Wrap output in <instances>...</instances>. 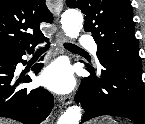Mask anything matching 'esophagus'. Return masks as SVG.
Instances as JSON below:
<instances>
[{
	"instance_id": "obj_1",
	"label": "esophagus",
	"mask_w": 145,
	"mask_h": 124,
	"mask_svg": "<svg viewBox=\"0 0 145 124\" xmlns=\"http://www.w3.org/2000/svg\"><path fill=\"white\" fill-rule=\"evenodd\" d=\"M52 10H53L54 14L56 16H58L62 10V3L58 1L53 6ZM66 42H67L66 36L64 35V33L62 31L59 30L56 34V44H57V47L61 53L65 52L64 43H66ZM59 100L63 105H69L72 103L73 97L71 95L70 96H62V97H60Z\"/></svg>"
}]
</instances>
